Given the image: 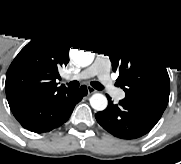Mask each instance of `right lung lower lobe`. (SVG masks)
<instances>
[{
    "label": "right lung lower lobe",
    "mask_w": 181,
    "mask_h": 164,
    "mask_svg": "<svg viewBox=\"0 0 181 164\" xmlns=\"http://www.w3.org/2000/svg\"><path fill=\"white\" fill-rule=\"evenodd\" d=\"M87 95L85 85L76 89H66L46 101H20L10 104V109L27 130L42 133L51 131L66 122L75 105Z\"/></svg>",
    "instance_id": "98d812e1"
}]
</instances>
